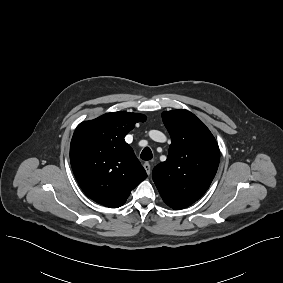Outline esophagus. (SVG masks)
Masks as SVG:
<instances>
[{"mask_svg":"<svg viewBox=\"0 0 283 283\" xmlns=\"http://www.w3.org/2000/svg\"><path fill=\"white\" fill-rule=\"evenodd\" d=\"M143 167L146 170L147 174L150 175V173H151V165H150V163L149 162H145L143 164Z\"/></svg>","mask_w":283,"mask_h":283,"instance_id":"esophagus-1","label":"esophagus"}]
</instances>
